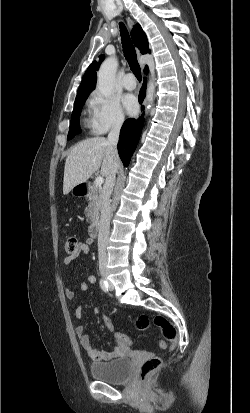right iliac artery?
<instances>
[{"label": "right iliac artery", "mask_w": 250, "mask_h": 413, "mask_svg": "<svg viewBox=\"0 0 250 413\" xmlns=\"http://www.w3.org/2000/svg\"><path fill=\"white\" fill-rule=\"evenodd\" d=\"M100 287L105 293L108 292V284L103 278L100 279Z\"/></svg>", "instance_id": "1"}]
</instances>
